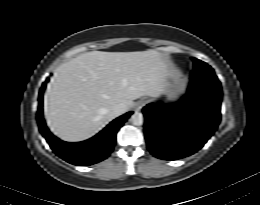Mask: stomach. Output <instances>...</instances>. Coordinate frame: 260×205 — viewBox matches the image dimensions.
<instances>
[{"label":"stomach","instance_id":"1","mask_svg":"<svg viewBox=\"0 0 260 205\" xmlns=\"http://www.w3.org/2000/svg\"><path fill=\"white\" fill-rule=\"evenodd\" d=\"M165 88L163 93L169 98L173 99L177 96L178 93L182 90V81L179 78L178 74L172 69L168 68V71L165 76Z\"/></svg>","mask_w":260,"mask_h":205}]
</instances>
